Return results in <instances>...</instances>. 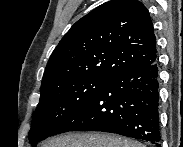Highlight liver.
Here are the masks:
<instances>
[{"instance_id": "1", "label": "liver", "mask_w": 183, "mask_h": 147, "mask_svg": "<svg viewBox=\"0 0 183 147\" xmlns=\"http://www.w3.org/2000/svg\"><path fill=\"white\" fill-rule=\"evenodd\" d=\"M43 147H144V145L111 134L70 133L47 141Z\"/></svg>"}]
</instances>
